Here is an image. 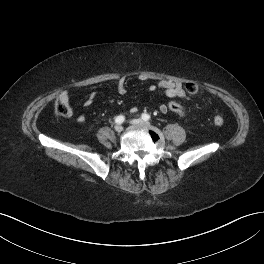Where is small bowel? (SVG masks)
Here are the masks:
<instances>
[{"mask_svg":"<svg viewBox=\"0 0 264 264\" xmlns=\"http://www.w3.org/2000/svg\"><path fill=\"white\" fill-rule=\"evenodd\" d=\"M147 77L141 76L140 80L145 81ZM157 88L162 89L167 97L173 98V97H178L181 99H187V94L186 91L183 88V85L179 82H174L171 80H161L158 82L157 85H151L149 87L150 91H155ZM117 91L119 94L123 95L127 92V85H126V78L121 77L119 78L117 82ZM95 100V94L92 93L89 95V97L85 100L84 105L85 106H90L93 104ZM58 101L66 104L69 107V114L68 116L72 115V110L70 109V94L68 91H62L59 96H58ZM159 110L162 113H166L168 110L167 105L161 104L159 106ZM76 121L78 123H83L85 121V116L84 115H79L76 118Z\"/></svg>","mask_w":264,"mask_h":264,"instance_id":"small-bowel-1","label":"small bowel"}]
</instances>
